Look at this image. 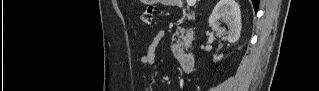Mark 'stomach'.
Segmentation results:
<instances>
[{
  "instance_id": "0dacf381",
  "label": "stomach",
  "mask_w": 319,
  "mask_h": 91,
  "mask_svg": "<svg viewBox=\"0 0 319 91\" xmlns=\"http://www.w3.org/2000/svg\"><path fill=\"white\" fill-rule=\"evenodd\" d=\"M144 2L146 3V4H155V3H157L158 2V0H144ZM162 2H164V3H174L175 2V0H162Z\"/></svg>"
}]
</instances>
